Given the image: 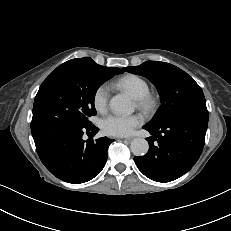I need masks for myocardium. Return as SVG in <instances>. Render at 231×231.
I'll use <instances>...</instances> for the list:
<instances>
[{"label":"myocardium","mask_w":231,"mask_h":231,"mask_svg":"<svg viewBox=\"0 0 231 231\" xmlns=\"http://www.w3.org/2000/svg\"><path fill=\"white\" fill-rule=\"evenodd\" d=\"M137 106L145 113H154L159 107V97L156 94L148 92L142 97L136 98Z\"/></svg>","instance_id":"1"}]
</instances>
